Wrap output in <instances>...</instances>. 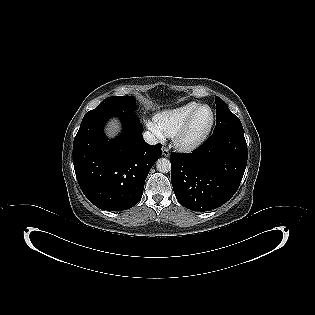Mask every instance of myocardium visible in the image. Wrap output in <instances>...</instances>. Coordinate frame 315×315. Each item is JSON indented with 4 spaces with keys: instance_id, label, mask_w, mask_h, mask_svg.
Instances as JSON below:
<instances>
[{
    "instance_id": "1",
    "label": "myocardium",
    "mask_w": 315,
    "mask_h": 315,
    "mask_svg": "<svg viewBox=\"0 0 315 315\" xmlns=\"http://www.w3.org/2000/svg\"><path fill=\"white\" fill-rule=\"evenodd\" d=\"M202 108H208L211 112V120L206 128V130L197 138L192 140H187L186 136L188 134V131L192 125V122L197 115V113ZM215 124V112L214 109L208 105V104H200L198 107H196L192 113L188 116V118L184 121V123L180 126V128L176 131V133L173 136V142L175 147L182 151V152H191L195 149L199 148L209 137L213 127Z\"/></svg>"
}]
</instances>
